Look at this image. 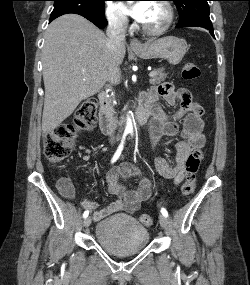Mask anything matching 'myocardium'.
<instances>
[{"mask_svg":"<svg viewBox=\"0 0 250 285\" xmlns=\"http://www.w3.org/2000/svg\"><path fill=\"white\" fill-rule=\"evenodd\" d=\"M157 3L160 4L165 9L166 19L165 22L160 27L154 29L148 28L142 24L141 29L143 33L149 36H160L164 34L172 25L175 17L174 9L170 2L166 0H160Z\"/></svg>","mask_w":250,"mask_h":285,"instance_id":"obj_1","label":"myocardium"}]
</instances>
